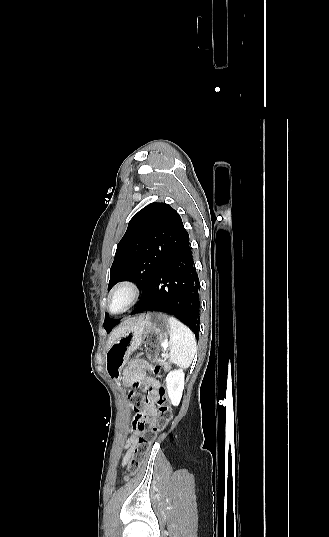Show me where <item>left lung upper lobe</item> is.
<instances>
[{
    "label": "left lung upper lobe",
    "instance_id": "5c2ea615",
    "mask_svg": "<svg viewBox=\"0 0 329 537\" xmlns=\"http://www.w3.org/2000/svg\"><path fill=\"white\" fill-rule=\"evenodd\" d=\"M188 237L180 215L171 206L147 205L130 220L117 245L108 290L128 280L139 286L143 297L156 272ZM118 322L106 314L104 328L109 332Z\"/></svg>",
    "mask_w": 329,
    "mask_h": 537
}]
</instances>
